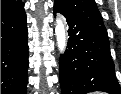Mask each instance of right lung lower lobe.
<instances>
[{
	"label": "right lung lower lobe",
	"mask_w": 121,
	"mask_h": 94,
	"mask_svg": "<svg viewBox=\"0 0 121 94\" xmlns=\"http://www.w3.org/2000/svg\"><path fill=\"white\" fill-rule=\"evenodd\" d=\"M27 24L24 3L1 10V94H26Z\"/></svg>",
	"instance_id": "right-lung-lower-lobe-1"
}]
</instances>
